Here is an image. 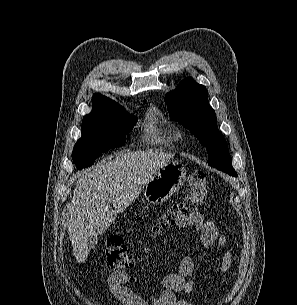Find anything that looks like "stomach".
Wrapping results in <instances>:
<instances>
[{
	"instance_id": "obj_1",
	"label": "stomach",
	"mask_w": 297,
	"mask_h": 305,
	"mask_svg": "<svg viewBox=\"0 0 297 305\" xmlns=\"http://www.w3.org/2000/svg\"><path fill=\"white\" fill-rule=\"evenodd\" d=\"M186 169L178 161H169L158 169L145 185L144 196L151 204H162L184 184Z\"/></svg>"
}]
</instances>
